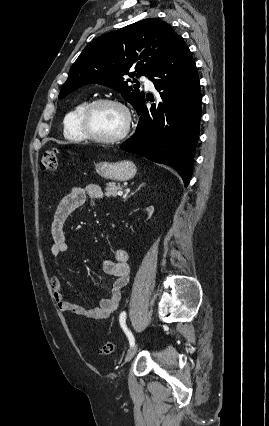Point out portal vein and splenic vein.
Listing matches in <instances>:
<instances>
[{"label":"portal vein and splenic vein","instance_id":"1","mask_svg":"<svg viewBox=\"0 0 269 426\" xmlns=\"http://www.w3.org/2000/svg\"><path fill=\"white\" fill-rule=\"evenodd\" d=\"M117 195H118V196H122V195H123V192H122V191H118Z\"/></svg>","mask_w":269,"mask_h":426}]
</instances>
